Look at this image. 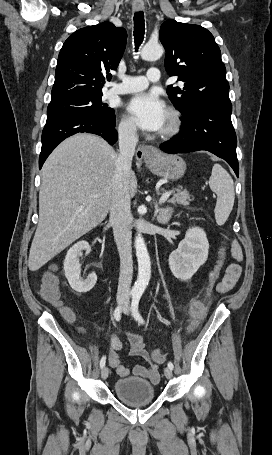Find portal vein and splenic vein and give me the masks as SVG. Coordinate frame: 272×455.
<instances>
[{"instance_id":"18ae733b","label":"portal vein and splenic vein","mask_w":272,"mask_h":455,"mask_svg":"<svg viewBox=\"0 0 272 455\" xmlns=\"http://www.w3.org/2000/svg\"><path fill=\"white\" fill-rule=\"evenodd\" d=\"M170 195H171V191H167L166 193H164L162 195V197L160 198V202L161 203L165 202L169 198Z\"/></svg>"}]
</instances>
